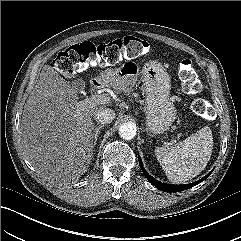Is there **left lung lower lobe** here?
I'll use <instances>...</instances> for the list:
<instances>
[{"label": "left lung lower lobe", "instance_id": "obj_1", "mask_svg": "<svg viewBox=\"0 0 241 241\" xmlns=\"http://www.w3.org/2000/svg\"><path fill=\"white\" fill-rule=\"evenodd\" d=\"M139 166L141 167L144 176L150 181V183L153 184L157 189L165 191V192H180V191L189 189V188L193 187L194 185H197L200 182L207 179V177L212 173V171H211L205 177H203L202 179H200L194 183L184 184V185H173V184H165V183L159 182L158 180L154 179L151 175H149L147 173V171L144 169L140 158H139Z\"/></svg>", "mask_w": 241, "mask_h": 241}]
</instances>
